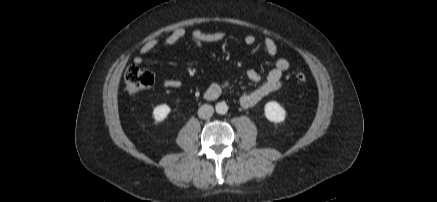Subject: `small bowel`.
<instances>
[{
  "instance_id": "obj_1",
  "label": "small bowel",
  "mask_w": 437,
  "mask_h": 202,
  "mask_svg": "<svg viewBox=\"0 0 437 202\" xmlns=\"http://www.w3.org/2000/svg\"><path fill=\"white\" fill-rule=\"evenodd\" d=\"M186 35V30L182 27L174 29L169 35L160 39H152L147 41L139 50L138 55L134 58L136 64H141L144 61V56L155 50L156 48H166L176 44ZM225 32H204L202 30H193L190 34L191 40L198 46L202 47L204 43H211L223 40L226 38ZM256 42V38L253 35H246L244 37V43L246 45H253ZM263 48L270 58H275L278 53V46L276 42L266 37L262 42ZM290 67L288 60L279 58L275 61L273 68L269 71L264 80L261 79L259 73L253 69L248 70L245 73V77L259 85L252 91L244 93L240 97V104L244 108H250L257 104L264 97L270 93L278 90L282 85V75ZM230 81L222 83H213L206 91L208 99L218 98L223 90L230 85ZM164 87L167 88H180L181 82L178 80H164L162 82Z\"/></svg>"
}]
</instances>
